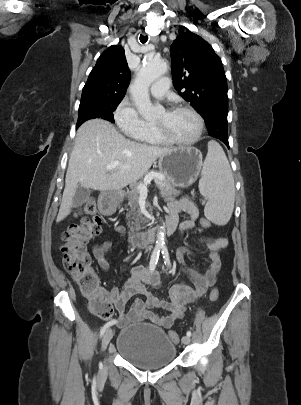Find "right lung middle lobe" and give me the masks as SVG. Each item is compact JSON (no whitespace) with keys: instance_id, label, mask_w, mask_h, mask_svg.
Instances as JSON below:
<instances>
[{"instance_id":"1","label":"right lung middle lobe","mask_w":301,"mask_h":405,"mask_svg":"<svg viewBox=\"0 0 301 405\" xmlns=\"http://www.w3.org/2000/svg\"><path fill=\"white\" fill-rule=\"evenodd\" d=\"M123 97L87 96L81 98L77 128L86 120L94 118L106 119L114 122L113 111L117 108Z\"/></svg>"}]
</instances>
